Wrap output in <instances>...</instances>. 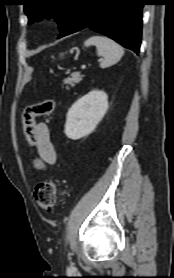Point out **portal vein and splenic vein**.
Returning a JSON list of instances; mask_svg holds the SVG:
<instances>
[{
  "label": "portal vein and splenic vein",
  "instance_id": "portal-vein-and-splenic-vein-1",
  "mask_svg": "<svg viewBox=\"0 0 174 278\" xmlns=\"http://www.w3.org/2000/svg\"><path fill=\"white\" fill-rule=\"evenodd\" d=\"M99 61H101V60H99ZM85 68H86L85 65H82V66H81V69H82V70H84Z\"/></svg>",
  "mask_w": 174,
  "mask_h": 278
}]
</instances>
